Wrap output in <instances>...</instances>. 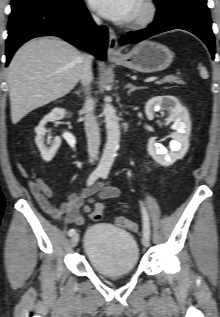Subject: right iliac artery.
<instances>
[{
  "instance_id": "right-iliac-artery-1",
  "label": "right iliac artery",
  "mask_w": 220,
  "mask_h": 317,
  "mask_svg": "<svg viewBox=\"0 0 220 317\" xmlns=\"http://www.w3.org/2000/svg\"><path fill=\"white\" fill-rule=\"evenodd\" d=\"M101 176H102V171H99V170L93 171L87 180V185L90 186ZM75 233L76 231L73 228L68 231L69 236H73Z\"/></svg>"
}]
</instances>
